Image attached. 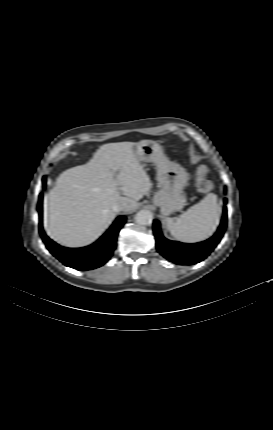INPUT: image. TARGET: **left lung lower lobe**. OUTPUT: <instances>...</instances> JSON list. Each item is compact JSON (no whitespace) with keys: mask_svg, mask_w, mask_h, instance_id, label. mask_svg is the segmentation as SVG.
<instances>
[{"mask_svg":"<svg viewBox=\"0 0 273 430\" xmlns=\"http://www.w3.org/2000/svg\"><path fill=\"white\" fill-rule=\"evenodd\" d=\"M226 203V199L224 200ZM227 224V208L223 209V217L218 231L210 239L196 243L185 244L170 241L163 237L160 223L154 220L153 231L156 237V247L158 252L171 262L179 265H191L204 260L220 242Z\"/></svg>","mask_w":273,"mask_h":430,"instance_id":"left-lung-lower-lobe-1","label":"left lung lower lobe"}]
</instances>
